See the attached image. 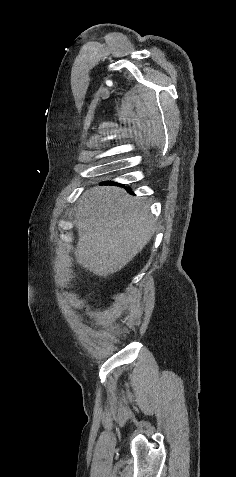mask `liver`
Wrapping results in <instances>:
<instances>
[{"label": "liver", "instance_id": "6515ba94", "mask_svg": "<svg viewBox=\"0 0 236 477\" xmlns=\"http://www.w3.org/2000/svg\"><path fill=\"white\" fill-rule=\"evenodd\" d=\"M75 225L79 237L76 261L101 277L126 266L155 232L147 202L110 186L85 192L75 210Z\"/></svg>", "mask_w": 236, "mask_h": 477}]
</instances>
